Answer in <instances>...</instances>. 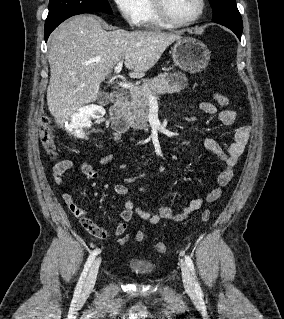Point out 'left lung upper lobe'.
I'll return each mask as SVG.
<instances>
[{"mask_svg": "<svg viewBox=\"0 0 284 319\" xmlns=\"http://www.w3.org/2000/svg\"><path fill=\"white\" fill-rule=\"evenodd\" d=\"M213 9L214 21H227L242 24V18L235 0H209Z\"/></svg>", "mask_w": 284, "mask_h": 319, "instance_id": "1", "label": "left lung upper lobe"}]
</instances>
